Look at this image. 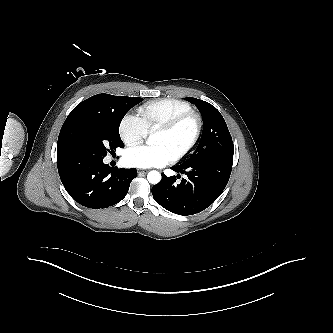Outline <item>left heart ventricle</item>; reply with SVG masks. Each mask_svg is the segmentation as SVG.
<instances>
[{"label": "left heart ventricle", "instance_id": "obj_1", "mask_svg": "<svg viewBox=\"0 0 333 333\" xmlns=\"http://www.w3.org/2000/svg\"><path fill=\"white\" fill-rule=\"evenodd\" d=\"M194 122L188 120L170 133L157 131L154 135V145H163L171 156L182 150L191 140L194 133Z\"/></svg>", "mask_w": 333, "mask_h": 333}]
</instances>
